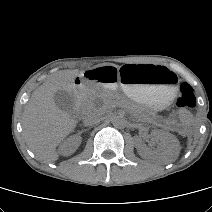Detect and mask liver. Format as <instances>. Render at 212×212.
I'll use <instances>...</instances> for the list:
<instances>
[{
	"label": "liver",
	"mask_w": 212,
	"mask_h": 212,
	"mask_svg": "<svg viewBox=\"0 0 212 212\" xmlns=\"http://www.w3.org/2000/svg\"><path fill=\"white\" fill-rule=\"evenodd\" d=\"M77 74L78 70H63L50 76L25 106L22 117L25 142L43 162L58 159L57 145L76 127L77 121L60 110L53 97L58 90L71 92Z\"/></svg>",
	"instance_id": "6515ba94"
}]
</instances>
